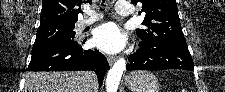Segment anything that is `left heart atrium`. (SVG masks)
Instances as JSON below:
<instances>
[{"instance_id":"1","label":"left heart atrium","mask_w":225,"mask_h":92,"mask_svg":"<svg viewBox=\"0 0 225 92\" xmlns=\"http://www.w3.org/2000/svg\"><path fill=\"white\" fill-rule=\"evenodd\" d=\"M93 43L107 53H114L124 46L125 35L119 25L108 22L94 31Z\"/></svg>"}]
</instances>
